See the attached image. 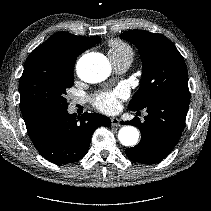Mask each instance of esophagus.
I'll use <instances>...</instances> for the list:
<instances>
[{
    "mask_svg": "<svg viewBox=\"0 0 211 211\" xmlns=\"http://www.w3.org/2000/svg\"><path fill=\"white\" fill-rule=\"evenodd\" d=\"M111 124L112 126H120V120L116 117L111 118Z\"/></svg>",
    "mask_w": 211,
    "mask_h": 211,
    "instance_id": "1",
    "label": "esophagus"
}]
</instances>
